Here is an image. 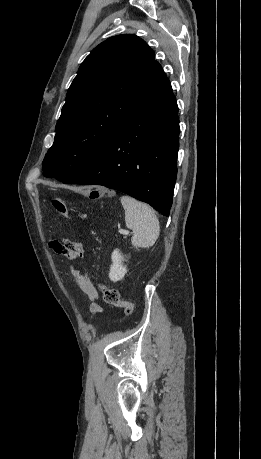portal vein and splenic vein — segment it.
Segmentation results:
<instances>
[{"label":"portal vein and splenic vein","mask_w":261,"mask_h":459,"mask_svg":"<svg viewBox=\"0 0 261 459\" xmlns=\"http://www.w3.org/2000/svg\"><path fill=\"white\" fill-rule=\"evenodd\" d=\"M118 232L121 233V234H125V235H128V234H129L128 231L123 230V229H119Z\"/></svg>","instance_id":"1"}]
</instances>
